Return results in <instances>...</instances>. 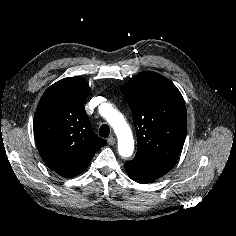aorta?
Segmentation results:
<instances>
[{"label":"aorta","instance_id":"1","mask_svg":"<svg viewBox=\"0 0 236 236\" xmlns=\"http://www.w3.org/2000/svg\"><path fill=\"white\" fill-rule=\"evenodd\" d=\"M102 115L107 119L117 135L120 156L124 158L130 157L134 151V141L131 129L124 117L109 104H105Z\"/></svg>","mask_w":236,"mask_h":236}]
</instances>
